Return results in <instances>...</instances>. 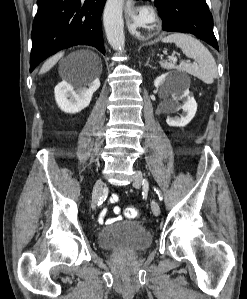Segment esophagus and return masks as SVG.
Segmentation results:
<instances>
[{
  "label": "esophagus",
  "instance_id": "obj_1",
  "mask_svg": "<svg viewBox=\"0 0 247 299\" xmlns=\"http://www.w3.org/2000/svg\"><path fill=\"white\" fill-rule=\"evenodd\" d=\"M134 6V1L133 0H126L125 1V9H130Z\"/></svg>",
  "mask_w": 247,
  "mask_h": 299
}]
</instances>
